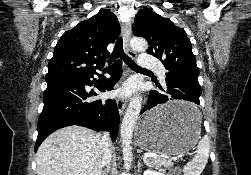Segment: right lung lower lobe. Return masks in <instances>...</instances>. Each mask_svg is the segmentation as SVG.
<instances>
[{
	"instance_id": "right-lung-lower-lobe-1",
	"label": "right lung lower lobe",
	"mask_w": 251,
	"mask_h": 175,
	"mask_svg": "<svg viewBox=\"0 0 251 175\" xmlns=\"http://www.w3.org/2000/svg\"><path fill=\"white\" fill-rule=\"evenodd\" d=\"M122 62H115L108 73L111 78H104L99 82L97 88L101 92L113 89L115 83L121 77ZM92 73L89 75L61 78L47 81L44 92V107L38 120V137L35 144L37 151L43 140L57 129L79 125L95 131H109L113 141L116 139L120 122L119 112L114 99L96 100L86 102L85 100L97 95L88 94L85 85L91 86Z\"/></svg>"
}]
</instances>
